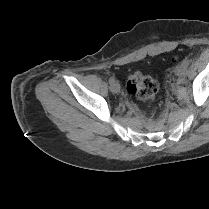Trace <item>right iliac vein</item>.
<instances>
[{
  "mask_svg": "<svg viewBox=\"0 0 209 209\" xmlns=\"http://www.w3.org/2000/svg\"><path fill=\"white\" fill-rule=\"evenodd\" d=\"M110 90L113 93H118L120 91V84H119V82L118 81H114L113 83H111Z\"/></svg>",
  "mask_w": 209,
  "mask_h": 209,
  "instance_id": "obj_1",
  "label": "right iliac vein"
}]
</instances>
